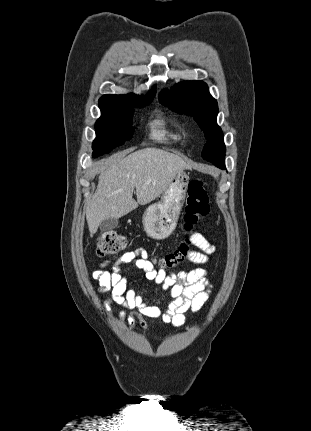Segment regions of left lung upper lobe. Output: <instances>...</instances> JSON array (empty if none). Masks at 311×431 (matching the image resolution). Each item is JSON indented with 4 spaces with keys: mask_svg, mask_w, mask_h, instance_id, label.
Returning <instances> with one entry per match:
<instances>
[{
    "mask_svg": "<svg viewBox=\"0 0 311 431\" xmlns=\"http://www.w3.org/2000/svg\"><path fill=\"white\" fill-rule=\"evenodd\" d=\"M160 102L181 114L191 115L204 131L207 143L202 157L220 167L225 157V145L221 128L217 125V101L209 94L202 81H186L164 90Z\"/></svg>",
    "mask_w": 311,
    "mask_h": 431,
    "instance_id": "1",
    "label": "left lung upper lobe"
}]
</instances>
